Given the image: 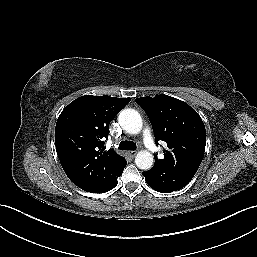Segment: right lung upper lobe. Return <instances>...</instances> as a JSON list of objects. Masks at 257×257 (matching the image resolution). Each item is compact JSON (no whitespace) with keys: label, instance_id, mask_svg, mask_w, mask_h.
Returning <instances> with one entry per match:
<instances>
[{"label":"right lung upper lobe","instance_id":"1","mask_svg":"<svg viewBox=\"0 0 257 257\" xmlns=\"http://www.w3.org/2000/svg\"><path fill=\"white\" fill-rule=\"evenodd\" d=\"M131 98L85 95L71 102L60 114L55 145L68 178L86 189L108 182L122 168L124 157L105 151L104 138L111 120Z\"/></svg>","mask_w":257,"mask_h":257}]
</instances>
